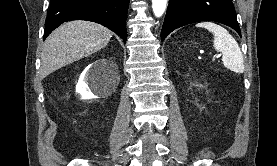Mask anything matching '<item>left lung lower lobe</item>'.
Here are the masks:
<instances>
[{
	"label": "left lung lower lobe",
	"instance_id": "obj_1",
	"mask_svg": "<svg viewBox=\"0 0 277 166\" xmlns=\"http://www.w3.org/2000/svg\"><path fill=\"white\" fill-rule=\"evenodd\" d=\"M200 21L225 24L241 36L231 0H169L161 30V41L173 30Z\"/></svg>",
	"mask_w": 277,
	"mask_h": 166
}]
</instances>
